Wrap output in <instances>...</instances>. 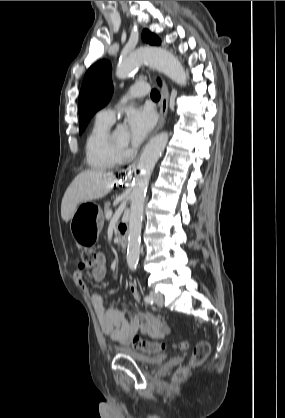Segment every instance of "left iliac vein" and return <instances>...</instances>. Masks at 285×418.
I'll use <instances>...</instances> for the list:
<instances>
[{
	"instance_id": "4c4485c4",
	"label": "left iliac vein",
	"mask_w": 285,
	"mask_h": 418,
	"mask_svg": "<svg viewBox=\"0 0 285 418\" xmlns=\"http://www.w3.org/2000/svg\"><path fill=\"white\" fill-rule=\"evenodd\" d=\"M149 296H150V297H152V298L154 299L155 303H156L158 306H163V304H164V299H163V296H162L161 294H159V293H157V292H154V291H151V292H150V294H149Z\"/></svg>"
}]
</instances>
